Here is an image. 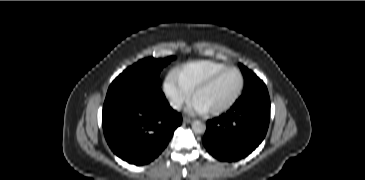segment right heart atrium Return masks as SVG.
I'll list each match as a JSON object with an SVG mask.
<instances>
[{"label": "right heart atrium", "instance_id": "obj_1", "mask_svg": "<svg viewBox=\"0 0 365 180\" xmlns=\"http://www.w3.org/2000/svg\"><path fill=\"white\" fill-rule=\"evenodd\" d=\"M163 91L174 109H180L190 97V94L182 86L177 73L174 71L165 78Z\"/></svg>", "mask_w": 365, "mask_h": 180}]
</instances>
